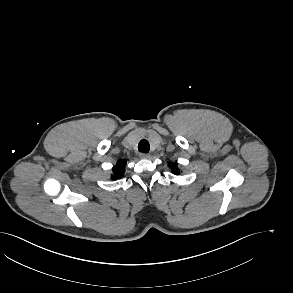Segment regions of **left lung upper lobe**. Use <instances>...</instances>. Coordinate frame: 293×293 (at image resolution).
<instances>
[{
  "instance_id": "left-lung-upper-lobe-1",
  "label": "left lung upper lobe",
  "mask_w": 293,
  "mask_h": 293,
  "mask_svg": "<svg viewBox=\"0 0 293 293\" xmlns=\"http://www.w3.org/2000/svg\"><path fill=\"white\" fill-rule=\"evenodd\" d=\"M169 168L172 170V173H174L176 175L180 174V171L177 168V164H175V163H169Z\"/></svg>"
}]
</instances>
